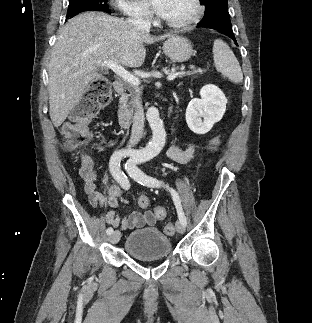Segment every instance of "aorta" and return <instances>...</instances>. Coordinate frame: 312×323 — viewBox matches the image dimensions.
I'll return each mask as SVG.
<instances>
[{
	"mask_svg": "<svg viewBox=\"0 0 312 323\" xmlns=\"http://www.w3.org/2000/svg\"><path fill=\"white\" fill-rule=\"evenodd\" d=\"M146 118L149 122V126L152 130V140L147 146L150 154H159L166 142V132L164 130L163 122L159 118V112L156 108H149Z\"/></svg>",
	"mask_w": 312,
	"mask_h": 323,
	"instance_id": "1",
	"label": "aorta"
}]
</instances>
